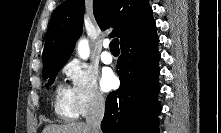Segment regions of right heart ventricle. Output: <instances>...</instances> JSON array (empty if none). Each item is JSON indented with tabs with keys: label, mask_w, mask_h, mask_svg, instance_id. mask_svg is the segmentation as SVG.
<instances>
[{
	"label": "right heart ventricle",
	"mask_w": 221,
	"mask_h": 133,
	"mask_svg": "<svg viewBox=\"0 0 221 133\" xmlns=\"http://www.w3.org/2000/svg\"><path fill=\"white\" fill-rule=\"evenodd\" d=\"M54 110L56 115L62 119L74 120L78 116L70 90L62 85H59L55 90Z\"/></svg>",
	"instance_id": "obj_1"
}]
</instances>
